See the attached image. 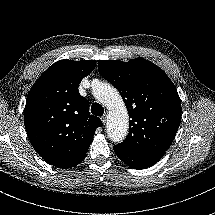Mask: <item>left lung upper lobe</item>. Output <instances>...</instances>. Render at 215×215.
Instances as JSON below:
<instances>
[{
  "instance_id": "5c2ea615",
  "label": "left lung upper lobe",
  "mask_w": 215,
  "mask_h": 215,
  "mask_svg": "<svg viewBox=\"0 0 215 215\" xmlns=\"http://www.w3.org/2000/svg\"><path fill=\"white\" fill-rule=\"evenodd\" d=\"M98 70L120 92L129 118V133L120 148L135 153L165 152L181 122L176 87L154 63L136 58L98 61Z\"/></svg>"
}]
</instances>
